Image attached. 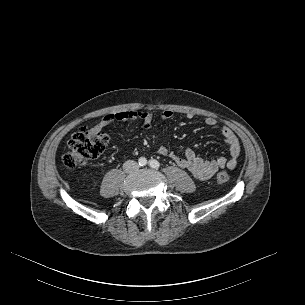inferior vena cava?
Returning a JSON list of instances; mask_svg holds the SVG:
<instances>
[{
	"label": "inferior vena cava",
	"instance_id": "obj_1",
	"mask_svg": "<svg viewBox=\"0 0 305 305\" xmlns=\"http://www.w3.org/2000/svg\"><path fill=\"white\" fill-rule=\"evenodd\" d=\"M138 168H139L138 163L133 160H128L123 164V169L126 173H133L137 171Z\"/></svg>",
	"mask_w": 305,
	"mask_h": 305
}]
</instances>
